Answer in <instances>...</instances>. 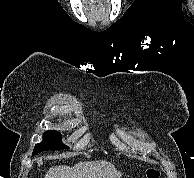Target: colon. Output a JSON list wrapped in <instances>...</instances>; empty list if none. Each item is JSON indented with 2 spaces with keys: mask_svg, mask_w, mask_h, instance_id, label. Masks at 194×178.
<instances>
[{
  "mask_svg": "<svg viewBox=\"0 0 194 178\" xmlns=\"http://www.w3.org/2000/svg\"><path fill=\"white\" fill-rule=\"evenodd\" d=\"M145 178H160V172L156 168H148L145 172Z\"/></svg>",
  "mask_w": 194,
  "mask_h": 178,
  "instance_id": "colon-1",
  "label": "colon"
}]
</instances>
